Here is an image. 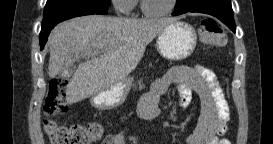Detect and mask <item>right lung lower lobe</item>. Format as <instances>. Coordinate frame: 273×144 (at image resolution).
Returning a JSON list of instances; mask_svg holds the SVG:
<instances>
[{
    "label": "right lung lower lobe",
    "mask_w": 273,
    "mask_h": 144,
    "mask_svg": "<svg viewBox=\"0 0 273 144\" xmlns=\"http://www.w3.org/2000/svg\"><path fill=\"white\" fill-rule=\"evenodd\" d=\"M108 6L97 3H66L55 6L44 17L41 24L40 48H44L50 31L60 22L78 16L106 14Z\"/></svg>",
    "instance_id": "1"
}]
</instances>
